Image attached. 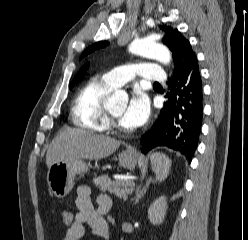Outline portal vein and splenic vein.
<instances>
[{
	"mask_svg": "<svg viewBox=\"0 0 248 240\" xmlns=\"http://www.w3.org/2000/svg\"><path fill=\"white\" fill-rule=\"evenodd\" d=\"M128 186H135L134 181H124Z\"/></svg>",
	"mask_w": 248,
	"mask_h": 240,
	"instance_id": "obj_1",
	"label": "portal vein and splenic vein"
}]
</instances>
